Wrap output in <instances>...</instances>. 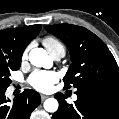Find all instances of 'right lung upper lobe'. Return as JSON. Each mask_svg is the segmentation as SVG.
<instances>
[{
    "label": "right lung upper lobe",
    "instance_id": "cb5924a9",
    "mask_svg": "<svg viewBox=\"0 0 119 119\" xmlns=\"http://www.w3.org/2000/svg\"><path fill=\"white\" fill-rule=\"evenodd\" d=\"M40 30L31 25L0 31V64L21 65L23 51Z\"/></svg>",
    "mask_w": 119,
    "mask_h": 119
}]
</instances>
